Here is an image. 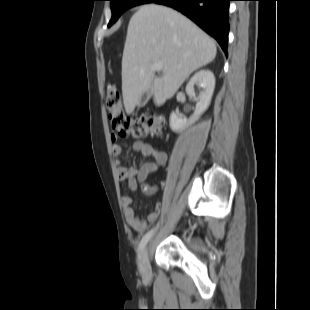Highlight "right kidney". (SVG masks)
<instances>
[{
    "instance_id": "right-kidney-1",
    "label": "right kidney",
    "mask_w": 310,
    "mask_h": 310,
    "mask_svg": "<svg viewBox=\"0 0 310 310\" xmlns=\"http://www.w3.org/2000/svg\"><path fill=\"white\" fill-rule=\"evenodd\" d=\"M202 89L199 95H196L194 86ZM215 88V77L209 69H203L196 72L186 86V93L189 97L193 98L196 103V109L193 115L189 118H182L175 112H172L169 119L170 128L174 132H179L198 120V118L207 110L210 105Z\"/></svg>"
}]
</instances>
